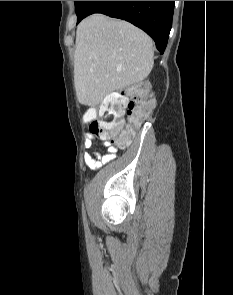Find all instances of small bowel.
Instances as JSON below:
<instances>
[{"instance_id": "c3829d8e", "label": "small bowel", "mask_w": 233, "mask_h": 295, "mask_svg": "<svg viewBox=\"0 0 233 295\" xmlns=\"http://www.w3.org/2000/svg\"><path fill=\"white\" fill-rule=\"evenodd\" d=\"M97 141V138L94 134L88 133L85 138L84 147L85 149H92L93 144ZM108 148L104 154H101L97 151H94L92 154L85 153L84 161L85 164L90 169H98L102 165L108 163L113 160L117 156V149L115 147L109 146V144H105Z\"/></svg>"}]
</instances>
